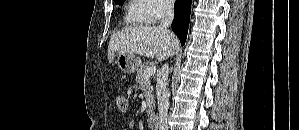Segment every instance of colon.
Listing matches in <instances>:
<instances>
[{
    "instance_id": "5ec220e1",
    "label": "colon",
    "mask_w": 299,
    "mask_h": 130,
    "mask_svg": "<svg viewBox=\"0 0 299 130\" xmlns=\"http://www.w3.org/2000/svg\"><path fill=\"white\" fill-rule=\"evenodd\" d=\"M116 104L119 110L126 111L128 107V100L125 96H118L116 99Z\"/></svg>"
}]
</instances>
